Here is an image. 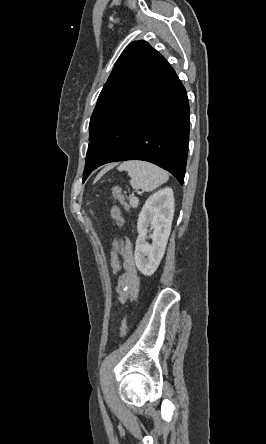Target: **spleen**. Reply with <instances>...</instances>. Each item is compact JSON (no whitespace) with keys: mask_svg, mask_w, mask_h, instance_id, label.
Instances as JSON below:
<instances>
[{"mask_svg":"<svg viewBox=\"0 0 266 444\" xmlns=\"http://www.w3.org/2000/svg\"><path fill=\"white\" fill-rule=\"evenodd\" d=\"M118 170L128 172L133 189H142L146 192L153 191L161 184L167 182L169 178L165 170L144 161L123 162L118 167Z\"/></svg>","mask_w":266,"mask_h":444,"instance_id":"spleen-1","label":"spleen"}]
</instances>
